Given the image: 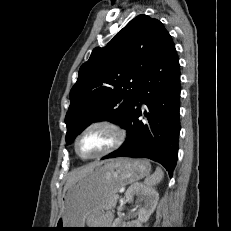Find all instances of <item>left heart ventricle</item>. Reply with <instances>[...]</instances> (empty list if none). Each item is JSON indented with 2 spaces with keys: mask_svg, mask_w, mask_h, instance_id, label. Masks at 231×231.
I'll use <instances>...</instances> for the list:
<instances>
[{
  "mask_svg": "<svg viewBox=\"0 0 231 231\" xmlns=\"http://www.w3.org/2000/svg\"><path fill=\"white\" fill-rule=\"evenodd\" d=\"M115 140L114 132L104 126L86 131L79 139L78 149L84 156H93L110 147Z\"/></svg>",
  "mask_w": 231,
  "mask_h": 231,
  "instance_id": "obj_1",
  "label": "left heart ventricle"
}]
</instances>
